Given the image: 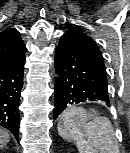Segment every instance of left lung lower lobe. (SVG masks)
I'll return each instance as SVG.
<instances>
[{"mask_svg": "<svg viewBox=\"0 0 130 153\" xmlns=\"http://www.w3.org/2000/svg\"><path fill=\"white\" fill-rule=\"evenodd\" d=\"M54 63L60 75L55 86L54 119L75 103L101 100L110 106L106 68L92 38L79 30H68L56 48Z\"/></svg>", "mask_w": 130, "mask_h": 153, "instance_id": "1", "label": "left lung lower lobe"}]
</instances>
